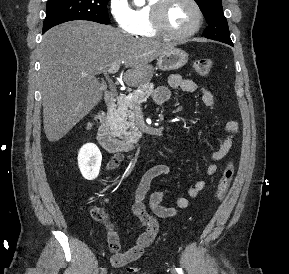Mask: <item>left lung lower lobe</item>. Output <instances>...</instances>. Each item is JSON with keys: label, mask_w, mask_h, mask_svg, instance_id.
<instances>
[{"label": "left lung lower lobe", "mask_w": 289, "mask_h": 274, "mask_svg": "<svg viewBox=\"0 0 289 274\" xmlns=\"http://www.w3.org/2000/svg\"><path fill=\"white\" fill-rule=\"evenodd\" d=\"M227 44H229V45L233 46V43H232V42H228Z\"/></svg>", "instance_id": "1"}]
</instances>
